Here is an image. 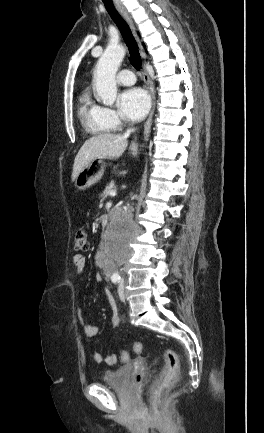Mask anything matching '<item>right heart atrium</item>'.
<instances>
[{
  "instance_id": "right-heart-atrium-1",
  "label": "right heart atrium",
  "mask_w": 264,
  "mask_h": 433,
  "mask_svg": "<svg viewBox=\"0 0 264 433\" xmlns=\"http://www.w3.org/2000/svg\"><path fill=\"white\" fill-rule=\"evenodd\" d=\"M102 112L105 121L112 127V128H118L121 126L122 121L118 115V113L108 107H102Z\"/></svg>"
}]
</instances>
